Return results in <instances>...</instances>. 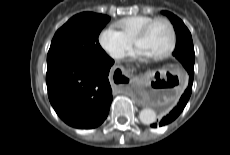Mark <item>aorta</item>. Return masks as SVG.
Returning <instances> with one entry per match:
<instances>
[{
    "instance_id": "obj_1",
    "label": "aorta",
    "mask_w": 230,
    "mask_h": 155,
    "mask_svg": "<svg viewBox=\"0 0 230 155\" xmlns=\"http://www.w3.org/2000/svg\"><path fill=\"white\" fill-rule=\"evenodd\" d=\"M156 118H157L156 112L151 108H145L141 110L139 113L140 121L147 125L156 122Z\"/></svg>"
}]
</instances>
